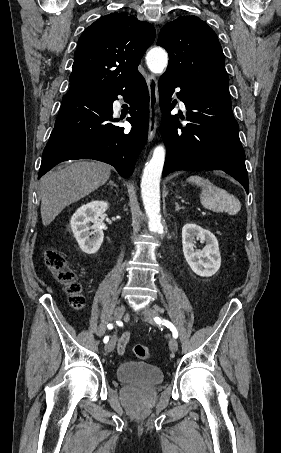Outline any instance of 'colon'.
<instances>
[{"label":"colon","instance_id":"colon-1","mask_svg":"<svg viewBox=\"0 0 281 453\" xmlns=\"http://www.w3.org/2000/svg\"><path fill=\"white\" fill-rule=\"evenodd\" d=\"M44 254L47 268L58 282L64 284L72 305L76 308L82 307L84 296L81 293L82 285L77 279L76 269L68 266L66 258L53 247H46ZM135 354L143 361H149L152 358L151 351L141 346L135 348Z\"/></svg>","mask_w":281,"mask_h":453}]
</instances>
